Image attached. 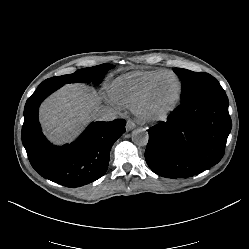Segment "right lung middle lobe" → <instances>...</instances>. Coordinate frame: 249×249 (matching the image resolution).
<instances>
[{
    "mask_svg": "<svg viewBox=\"0 0 249 249\" xmlns=\"http://www.w3.org/2000/svg\"><path fill=\"white\" fill-rule=\"evenodd\" d=\"M112 68H114V65L105 63L94 67L79 69L73 74L46 79L38 87L51 85L63 86L64 84L77 82L99 85L104 75Z\"/></svg>",
    "mask_w": 249,
    "mask_h": 249,
    "instance_id": "1",
    "label": "right lung middle lobe"
}]
</instances>
